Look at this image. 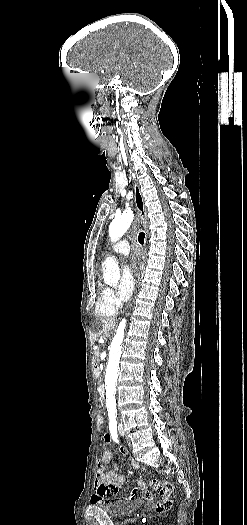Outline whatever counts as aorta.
I'll use <instances>...</instances> for the list:
<instances>
[{
	"mask_svg": "<svg viewBox=\"0 0 247 525\" xmlns=\"http://www.w3.org/2000/svg\"><path fill=\"white\" fill-rule=\"evenodd\" d=\"M133 219L134 214L132 211H126L121 216L115 217L109 226V236L111 240L115 241L121 238L129 229ZM103 278L107 285L113 287L116 286L119 281V266L113 257L106 259ZM125 327L126 320L122 319L110 345L109 359L106 368V406L110 421H116L117 418L115 394Z\"/></svg>",
	"mask_w": 247,
	"mask_h": 525,
	"instance_id": "762f6f07",
	"label": "aorta"
}]
</instances>
